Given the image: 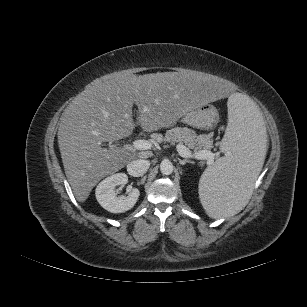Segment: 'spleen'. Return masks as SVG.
I'll return each mask as SVG.
<instances>
[{"label":"spleen","mask_w":307,"mask_h":307,"mask_svg":"<svg viewBox=\"0 0 307 307\" xmlns=\"http://www.w3.org/2000/svg\"><path fill=\"white\" fill-rule=\"evenodd\" d=\"M268 133L256 105L235 94L228 101V126L222 140L225 156L201 175L199 199L214 219L229 217L249 202L267 158Z\"/></svg>","instance_id":"obj_1"}]
</instances>
